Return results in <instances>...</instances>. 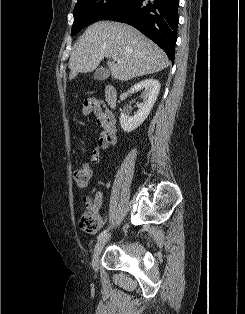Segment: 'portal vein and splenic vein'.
Returning a JSON list of instances; mask_svg holds the SVG:
<instances>
[{
	"label": "portal vein and splenic vein",
	"mask_w": 245,
	"mask_h": 314,
	"mask_svg": "<svg viewBox=\"0 0 245 314\" xmlns=\"http://www.w3.org/2000/svg\"><path fill=\"white\" fill-rule=\"evenodd\" d=\"M112 59H113V60H117V56H116V55H113V56H112Z\"/></svg>",
	"instance_id": "1"
}]
</instances>
